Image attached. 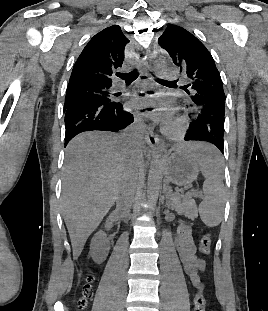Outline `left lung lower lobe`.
I'll list each match as a JSON object with an SVG mask.
<instances>
[{
	"mask_svg": "<svg viewBox=\"0 0 268 311\" xmlns=\"http://www.w3.org/2000/svg\"><path fill=\"white\" fill-rule=\"evenodd\" d=\"M224 115V100H217L215 106L206 104L201 109V113L191 118L184 140H206V142L216 144L223 153Z\"/></svg>",
	"mask_w": 268,
	"mask_h": 311,
	"instance_id": "obj_1",
	"label": "left lung lower lobe"
}]
</instances>
